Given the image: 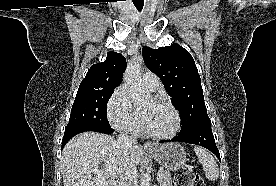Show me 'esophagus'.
<instances>
[{"label":"esophagus","instance_id":"obj_1","mask_svg":"<svg viewBox=\"0 0 276 186\" xmlns=\"http://www.w3.org/2000/svg\"><path fill=\"white\" fill-rule=\"evenodd\" d=\"M153 147L154 146H153V144L151 142L144 143V148H146V149H152Z\"/></svg>","mask_w":276,"mask_h":186}]
</instances>
